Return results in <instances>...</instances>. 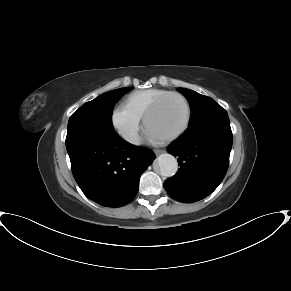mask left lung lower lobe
<instances>
[{
    "label": "left lung lower lobe",
    "mask_w": 291,
    "mask_h": 291,
    "mask_svg": "<svg viewBox=\"0 0 291 291\" xmlns=\"http://www.w3.org/2000/svg\"><path fill=\"white\" fill-rule=\"evenodd\" d=\"M232 141L230 122L226 116L197 130L187 131L171 144L167 151L178 157L180 168L164 182L169 196L191 203L211 194L227 172Z\"/></svg>",
    "instance_id": "1"
}]
</instances>
